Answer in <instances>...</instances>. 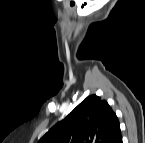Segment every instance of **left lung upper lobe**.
<instances>
[{
  "instance_id": "1",
  "label": "left lung upper lobe",
  "mask_w": 145,
  "mask_h": 143,
  "mask_svg": "<svg viewBox=\"0 0 145 143\" xmlns=\"http://www.w3.org/2000/svg\"><path fill=\"white\" fill-rule=\"evenodd\" d=\"M120 136L118 118L109 104L91 95L52 127L39 143H115Z\"/></svg>"
}]
</instances>
